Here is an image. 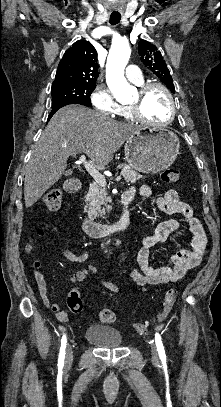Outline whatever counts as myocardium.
<instances>
[{
  "label": "myocardium",
  "instance_id": "1",
  "mask_svg": "<svg viewBox=\"0 0 221 407\" xmlns=\"http://www.w3.org/2000/svg\"><path fill=\"white\" fill-rule=\"evenodd\" d=\"M155 88L160 89L165 93L166 97L168 98L169 105H170L169 117L166 121H163V122H153V121L147 119L142 112L143 99L145 98V96L147 95V93L150 90L155 89ZM127 109L133 119H135L141 123L147 124V125H156V126H168L169 124H171L173 122V120L175 119L176 110H177L176 103H175V100H174V97H173L171 91L165 85L158 83V82L147 83V84L140 86L138 89L137 101L133 104L128 105Z\"/></svg>",
  "mask_w": 221,
  "mask_h": 407
}]
</instances>
